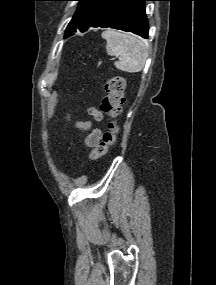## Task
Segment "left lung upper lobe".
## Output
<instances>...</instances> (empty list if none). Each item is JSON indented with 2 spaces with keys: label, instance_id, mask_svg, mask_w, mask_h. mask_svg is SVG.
Wrapping results in <instances>:
<instances>
[{
  "label": "left lung upper lobe",
  "instance_id": "1",
  "mask_svg": "<svg viewBox=\"0 0 216 285\" xmlns=\"http://www.w3.org/2000/svg\"><path fill=\"white\" fill-rule=\"evenodd\" d=\"M79 1L76 13L69 22L65 38L76 30L89 27L92 22L116 0H76Z\"/></svg>",
  "mask_w": 216,
  "mask_h": 285
}]
</instances>
